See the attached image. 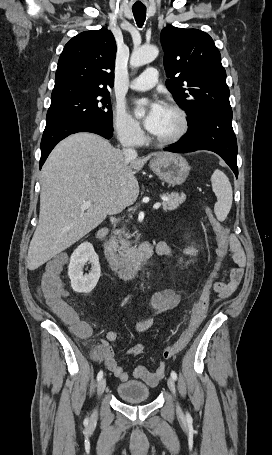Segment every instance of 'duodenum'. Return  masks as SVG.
I'll return each instance as SVG.
<instances>
[{"instance_id": "1", "label": "duodenum", "mask_w": 272, "mask_h": 455, "mask_svg": "<svg viewBox=\"0 0 272 455\" xmlns=\"http://www.w3.org/2000/svg\"><path fill=\"white\" fill-rule=\"evenodd\" d=\"M107 229L102 228L96 233V241L100 243L103 254L111 271L122 279H129L134 276L139 266L154 254V247L151 243L142 244L137 250L120 257L104 244Z\"/></svg>"}]
</instances>
